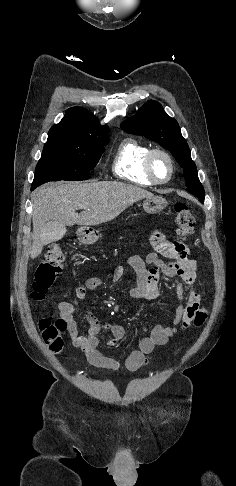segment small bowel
Instances as JSON below:
<instances>
[{
  "label": "small bowel",
  "mask_w": 236,
  "mask_h": 486,
  "mask_svg": "<svg viewBox=\"0 0 236 486\" xmlns=\"http://www.w3.org/2000/svg\"><path fill=\"white\" fill-rule=\"evenodd\" d=\"M150 244L154 252L149 253L145 259L139 255H133L128 259L129 266L136 274V284L129 289V294L136 299H155L160 295V275L178 277L180 281L176 285V299L178 306L175 309V318L172 325L157 324L148 333L143 328L138 337V348L132 351L125 360V368L128 371H137L145 367L154 352L156 346L165 345L176 334L177 327L187 329L191 326L200 327L207 318V312L201 306V297L196 290L185 294V287H193L196 279V262L190 258L188 249L179 242L169 241L161 230H156ZM159 255L169 259L163 261ZM124 275L123 267L116 268L113 275V283L118 282ZM103 285L99 277H90L86 280L84 290H96ZM59 315L66 324V329L72 340V344L80 349L87 357L89 363L95 367L117 371L120 363L103 355L98 350L99 333L102 330L109 331L113 339L110 346L125 337L124 326L115 323H102L91 312L85 311L83 318L87 324L85 333L78 329L75 319L74 306L66 301L58 304Z\"/></svg>",
  "instance_id": "1"
}]
</instances>
